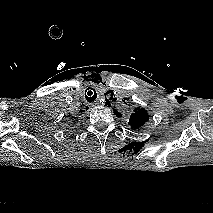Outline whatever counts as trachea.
<instances>
[{
  "mask_svg": "<svg viewBox=\"0 0 213 213\" xmlns=\"http://www.w3.org/2000/svg\"><path fill=\"white\" fill-rule=\"evenodd\" d=\"M91 90H93V91H91ZM91 90H89V91L87 92V95H85L86 100H87L88 102H93V101H95L96 98H97V93H96V91H95L94 89H91Z\"/></svg>",
  "mask_w": 213,
  "mask_h": 213,
  "instance_id": "trachea-1",
  "label": "trachea"
}]
</instances>
